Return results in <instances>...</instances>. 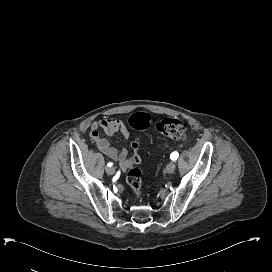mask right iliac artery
Returning a JSON list of instances; mask_svg holds the SVG:
<instances>
[{
    "label": "right iliac artery",
    "instance_id": "obj_1",
    "mask_svg": "<svg viewBox=\"0 0 272 272\" xmlns=\"http://www.w3.org/2000/svg\"><path fill=\"white\" fill-rule=\"evenodd\" d=\"M113 165V163H111V162H109L108 164H107V166H112Z\"/></svg>",
    "mask_w": 272,
    "mask_h": 272
}]
</instances>
